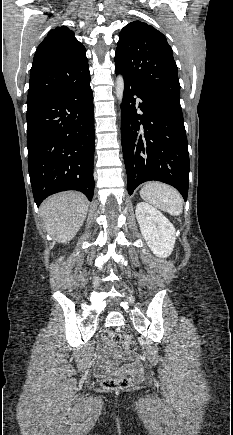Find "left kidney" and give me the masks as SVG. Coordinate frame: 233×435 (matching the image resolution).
<instances>
[{
	"instance_id": "obj_1",
	"label": "left kidney",
	"mask_w": 233,
	"mask_h": 435,
	"mask_svg": "<svg viewBox=\"0 0 233 435\" xmlns=\"http://www.w3.org/2000/svg\"><path fill=\"white\" fill-rule=\"evenodd\" d=\"M136 218L151 251L158 257H168L173 251L176 240L173 224L159 210L146 202L137 204Z\"/></svg>"
}]
</instances>
